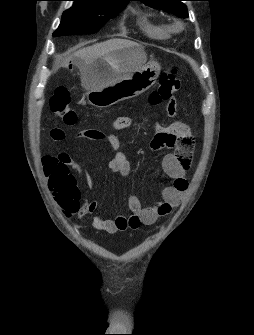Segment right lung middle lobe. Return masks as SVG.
<instances>
[{"label":"right lung middle lobe","instance_id":"dd1d6c3e","mask_svg":"<svg viewBox=\"0 0 254 335\" xmlns=\"http://www.w3.org/2000/svg\"><path fill=\"white\" fill-rule=\"evenodd\" d=\"M125 6L126 4L74 1L73 7L63 13L59 28L53 33V36L96 32Z\"/></svg>","mask_w":254,"mask_h":335}]
</instances>
